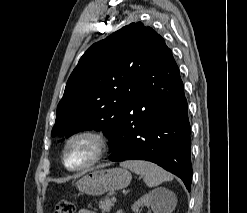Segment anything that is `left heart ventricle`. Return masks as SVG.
I'll use <instances>...</instances> for the list:
<instances>
[{
	"mask_svg": "<svg viewBox=\"0 0 247 213\" xmlns=\"http://www.w3.org/2000/svg\"><path fill=\"white\" fill-rule=\"evenodd\" d=\"M94 151L95 145L90 139H77L67 149L66 162L70 167H79L92 158Z\"/></svg>",
	"mask_w": 247,
	"mask_h": 213,
	"instance_id": "1",
	"label": "left heart ventricle"
}]
</instances>
